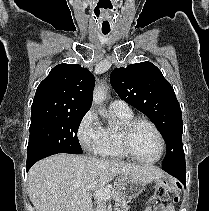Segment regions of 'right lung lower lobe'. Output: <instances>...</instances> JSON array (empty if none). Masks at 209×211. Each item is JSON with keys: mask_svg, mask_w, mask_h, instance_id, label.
Returning <instances> with one entry per match:
<instances>
[{"mask_svg": "<svg viewBox=\"0 0 209 211\" xmlns=\"http://www.w3.org/2000/svg\"><path fill=\"white\" fill-rule=\"evenodd\" d=\"M32 165H33V164L27 165V166H26L27 171L30 169V167H31Z\"/></svg>", "mask_w": 209, "mask_h": 211, "instance_id": "98d812e1", "label": "right lung lower lobe"}]
</instances>
